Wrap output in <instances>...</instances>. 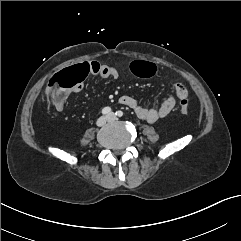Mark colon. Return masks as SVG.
I'll list each match as a JSON object with an SVG mask.
<instances>
[{
  "instance_id": "5ec220e1",
  "label": "colon",
  "mask_w": 241,
  "mask_h": 241,
  "mask_svg": "<svg viewBox=\"0 0 241 241\" xmlns=\"http://www.w3.org/2000/svg\"><path fill=\"white\" fill-rule=\"evenodd\" d=\"M132 72L141 77H149L155 73V66L148 62L135 61L131 65ZM91 73V65L86 60H78L74 65L60 70L54 74L48 82L47 98L51 103H59L65 100V94L81 84L83 79ZM180 100V112L184 115L189 112L188 93L184 88L178 91Z\"/></svg>"
}]
</instances>
